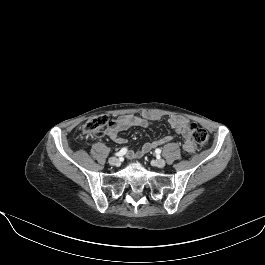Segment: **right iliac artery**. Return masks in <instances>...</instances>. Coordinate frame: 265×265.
<instances>
[{"instance_id": "obj_1", "label": "right iliac artery", "mask_w": 265, "mask_h": 265, "mask_svg": "<svg viewBox=\"0 0 265 265\" xmlns=\"http://www.w3.org/2000/svg\"><path fill=\"white\" fill-rule=\"evenodd\" d=\"M127 149L126 148H122L119 152L115 153L116 156H122L126 153Z\"/></svg>"}]
</instances>
